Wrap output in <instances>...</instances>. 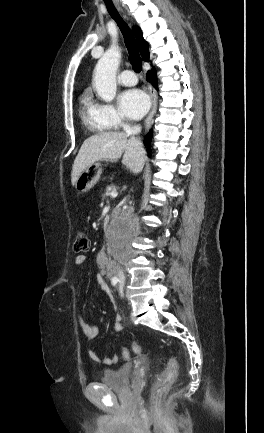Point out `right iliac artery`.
<instances>
[{"mask_svg": "<svg viewBox=\"0 0 264 433\" xmlns=\"http://www.w3.org/2000/svg\"><path fill=\"white\" fill-rule=\"evenodd\" d=\"M111 283H112L113 286H117L118 283H119V278L113 277L112 280H111Z\"/></svg>", "mask_w": 264, "mask_h": 433, "instance_id": "82829eb1", "label": "right iliac artery"}]
</instances>
